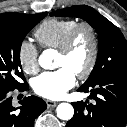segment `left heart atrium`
Wrapping results in <instances>:
<instances>
[{"instance_id": "obj_1", "label": "left heart atrium", "mask_w": 127, "mask_h": 127, "mask_svg": "<svg viewBox=\"0 0 127 127\" xmlns=\"http://www.w3.org/2000/svg\"><path fill=\"white\" fill-rule=\"evenodd\" d=\"M76 81L75 74L67 67L56 71L44 72L32 82L36 94L47 99H60L71 89Z\"/></svg>"}]
</instances>
